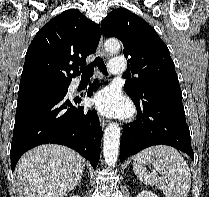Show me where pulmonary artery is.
I'll return each instance as SVG.
<instances>
[{
	"label": "pulmonary artery",
	"instance_id": "pulmonary-artery-1",
	"mask_svg": "<svg viewBox=\"0 0 209 197\" xmlns=\"http://www.w3.org/2000/svg\"><path fill=\"white\" fill-rule=\"evenodd\" d=\"M109 71L112 74H122L125 72L124 60L120 57H115L108 65Z\"/></svg>",
	"mask_w": 209,
	"mask_h": 197
}]
</instances>
